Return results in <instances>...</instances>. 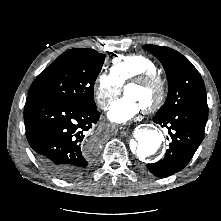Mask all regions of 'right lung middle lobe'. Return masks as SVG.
I'll list each match as a JSON object with an SVG mask.
<instances>
[{"mask_svg":"<svg viewBox=\"0 0 221 221\" xmlns=\"http://www.w3.org/2000/svg\"><path fill=\"white\" fill-rule=\"evenodd\" d=\"M104 59L93 49L68 50L35 79L28 95L41 94L95 110L93 87Z\"/></svg>","mask_w":221,"mask_h":221,"instance_id":"obj_1","label":"right lung middle lobe"}]
</instances>
